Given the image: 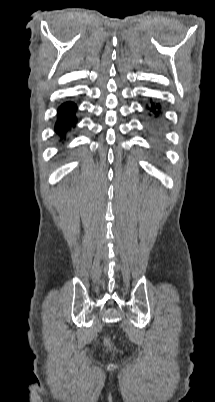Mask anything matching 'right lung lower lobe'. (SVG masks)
<instances>
[{
    "label": "right lung lower lobe",
    "instance_id": "obj_1",
    "mask_svg": "<svg viewBox=\"0 0 215 402\" xmlns=\"http://www.w3.org/2000/svg\"><path fill=\"white\" fill-rule=\"evenodd\" d=\"M77 111V105L71 101L63 103L58 108L57 122L55 124V132L57 135L64 139L70 128H74L78 122V118L75 115Z\"/></svg>",
    "mask_w": 215,
    "mask_h": 402
}]
</instances>
